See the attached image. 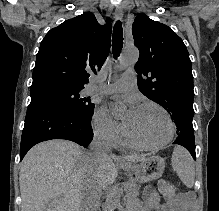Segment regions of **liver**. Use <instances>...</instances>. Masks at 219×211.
<instances>
[{
    "label": "liver",
    "mask_w": 219,
    "mask_h": 211,
    "mask_svg": "<svg viewBox=\"0 0 219 211\" xmlns=\"http://www.w3.org/2000/svg\"><path fill=\"white\" fill-rule=\"evenodd\" d=\"M145 155H110L90 167L89 151L66 139L41 141L26 153L19 171L22 211H84L99 207L102 189L116 181L114 161H142Z\"/></svg>",
    "instance_id": "liver-1"
}]
</instances>
